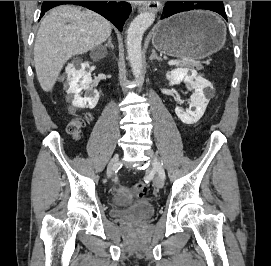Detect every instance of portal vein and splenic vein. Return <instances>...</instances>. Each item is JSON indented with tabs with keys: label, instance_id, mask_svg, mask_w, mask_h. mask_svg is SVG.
<instances>
[{
	"label": "portal vein and splenic vein",
	"instance_id": "obj_1",
	"mask_svg": "<svg viewBox=\"0 0 271 266\" xmlns=\"http://www.w3.org/2000/svg\"><path fill=\"white\" fill-rule=\"evenodd\" d=\"M194 63H199V62H194ZM168 64H169V65H177V64H179V61H177V60H170V61L168 62Z\"/></svg>",
	"mask_w": 271,
	"mask_h": 266
}]
</instances>
